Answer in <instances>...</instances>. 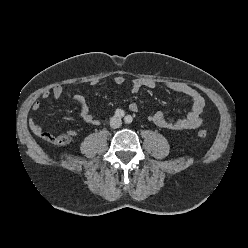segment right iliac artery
Here are the masks:
<instances>
[{"label": "right iliac artery", "mask_w": 248, "mask_h": 248, "mask_svg": "<svg viewBox=\"0 0 248 248\" xmlns=\"http://www.w3.org/2000/svg\"><path fill=\"white\" fill-rule=\"evenodd\" d=\"M125 115V112L122 109H117L115 111V116L118 118H122Z\"/></svg>", "instance_id": "obj_1"}]
</instances>
